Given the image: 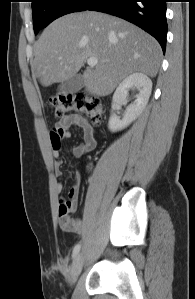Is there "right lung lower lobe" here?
I'll return each mask as SVG.
<instances>
[{"instance_id":"98d812e1","label":"right lung lower lobe","mask_w":195,"mask_h":299,"mask_svg":"<svg viewBox=\"0 0 195 299\" xmlns=\"http://www.w3.org/2000/svg\"><path fill=\"white\" fill-rule=\"evenodd\" d=\"M167 0H92L85 10H94L123 18L152 35L165 52Z\"/></svg>"}]
</instances>
